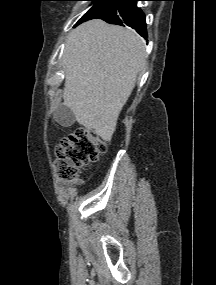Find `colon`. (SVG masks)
Segmentation results:
<instances>
[{
  "label": "colon",
  "mask_w": 216,
  "mask_h": 285,
  "mask_svg": "<svg viewBox=\"0 0 216 285\" xmlns=\"http://www.w3.org/2000/svg\"><path fill=\"white\" fill-rule=\"evenodd\" d=\"M107 144L90 129L78 128L57 144L55 165L63 180L77 179L79 169L95 162L106 152Z\"/></svg>",
  "instance_id": "obj_1"
}]
</instances>
